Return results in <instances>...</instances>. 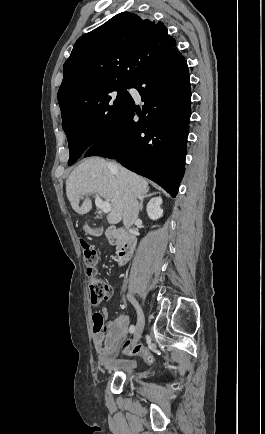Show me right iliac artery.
<instances>
[{"label":"right iliac artery","mask_w":265,"mask_h":434,"mask_svg":"<svg viewBox=\"0 0 265 434\" xmlns=\"http://www.w3.org/2000/svg\"><path fill=\"white\" fill-rule=\"evenodd\" d=\"M129 330H130V333H133L134 330H135V326H134V325H131L130 328H129Z\"/></svg>","instance_id":"82829eb1"}]
</instances>
